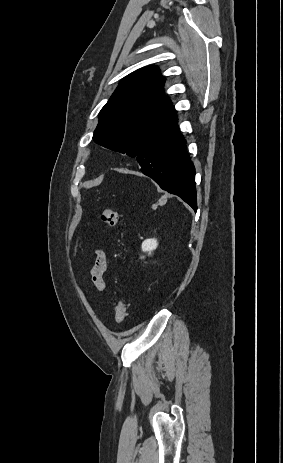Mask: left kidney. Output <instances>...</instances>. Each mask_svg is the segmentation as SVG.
Segmentation results:
<instances>
[{
    "label": "left kidney",
    "instance_id": "1",
    "mask_svg": "<svg viewBox=\"0 0 283 463\" xmlns=\"http://www.w3.org/2000/svg\"><path fill=\"white\" fill-rule=\"evenodd\" d=\"M157 246L158 242L156 239H147L142 242L141 248L143 252H148V254L151 255V252L155 250Z\"/></svg>",
    "mask_w": 283,
    "mask_h": 463
}]
</instances>
